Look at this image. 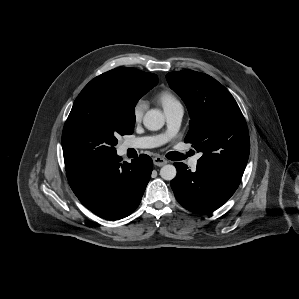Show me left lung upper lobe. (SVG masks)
I'll use <instances>...</instances> for the list:
<instances>
[{
	"mask_svg": "<svg viewBox=\"0 0 299 299\" xmlns=\"http://www.w3.org/2000/svg\"><path fill=\"white\" fill-rule=\"evenodd\" d=\"M166 78L188 108L191 120L184 141L203 154L197 164L241 178L250 139L233 96L217 80L200 72H170Z\"/></svg>",
	"mask_w": 299,
	"mask_h": 299,
	"instance_id": "left-lung-upper-lobe-1",
	"label": "left lung upper lobe"
}]
</instances>
